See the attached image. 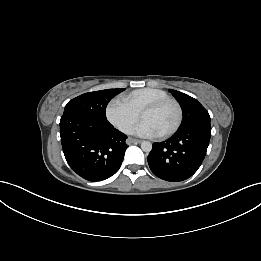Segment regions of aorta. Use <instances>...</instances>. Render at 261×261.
<instances>
[{"label": "aorta", "mask_w": 261, "mask_h": 261, "mask_svg": "<svg viewBox=\"0 0 261 261\" xmlns=\"http://www.w3.org/2000/svg\"><path fill=\"white\" fill-rule=\"evenodd\" d=\"M141 149L144 151V152H150L152 150V143L149 142V141H143L141 143Z\"/></svg>", "instance_id": "aorta-1"}]
</instances>
